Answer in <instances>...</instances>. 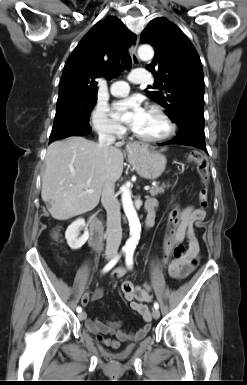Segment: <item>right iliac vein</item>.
I'll return each instance as SVG.
<instances>
[{
	"label": "right iliac vein",
	"mask_w": 247,
	"mask_h": 385,
	"mask_svg": "<svg viewBox=\"0 0 247 385\" xmlns=\"http://www.w3.org/2000/svg\"><path fill=\"white\" fill-rule=\"evenodd\" d=\"M78 317H79L80 320H84V319H86V313L85 312H81V313H79Z\"/></svg>",
	"instance_id": "obj_1"
}]
</instances>
